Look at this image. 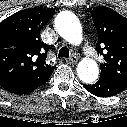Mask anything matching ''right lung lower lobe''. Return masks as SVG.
I'll list each match as a JSON object with an SVG mask.
<instances>
[{"label": "right lung lower lobe", "instance_id": "right-lung-lower-lobe-1", "mask_svg": "<svg viewBox=\"0 0 127 127\" xmlns=\"http://www.w3.org/2000/svg\"><path fill=\"white\" fill-rule=\"evenodd\" d=\"M50 75H48L45 79L39 81L20 80V79L6 81L2 82L0 86H2L8 92L17 95L28 94L37 89L38 87L42 86L43 84H45L48 81Z\"/></svg>", "mask_w": 127, "mask_h": 127}]
</instances>
